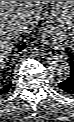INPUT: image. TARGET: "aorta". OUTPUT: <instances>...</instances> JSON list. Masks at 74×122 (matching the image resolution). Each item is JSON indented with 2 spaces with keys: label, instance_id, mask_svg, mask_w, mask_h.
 <instances>
[{
  "label": "aorta",
  "instance_id": "obj_1",
  "mask_svg": "<svg viewBox=\"0 0 74 122\" xmlns=\"http://www.w3.org/2000/svg\"><path fill=\"white\" fill-rule=\"evenodd\" d=\"M46 66L49 72L54 75H66L70 71L67 58L58 53H53L47 56Z\"/></svg>",
  "mask_w": 74,
  "mask_h": 122
}]
</instances>
